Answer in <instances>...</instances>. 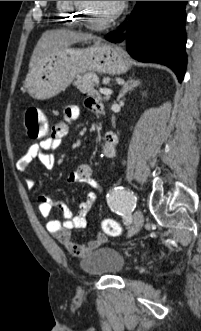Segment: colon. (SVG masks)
Here are the masks:
<instances>
[{"label":"colon","instance_id":"colon-1","mask_svg":"<svg viewBox=\"0 0 201 331\" xmlns=\"http://www.w3.org/2000/svg\"><path fill=\"white\" fill-rule=\"evenodd\" d=\"M25 132L31 139H43L49 134V125L45 115L37 108H29L25 114ZM103 232L97 236L99 243L106 241V235L119 236L121 228L119 224L112 219H104L102 222Z\"/></svg>","mask_w":201,"mask_h":331}]
</instances>
